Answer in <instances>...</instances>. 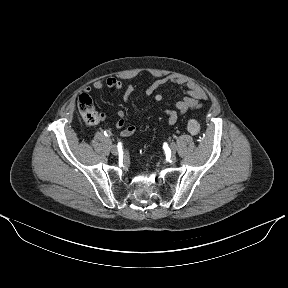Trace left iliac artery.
<instances>
[{
	"mask_svg": "<svg viewBox=\"0 0 288 288\" xmlns=\"http://www.w3.org/2000/svg\"><path fill=\"white\" fill-rule=\"evenodd\" d=\"M167 143L170 144V145H173L175 143V140L173 137H168L167 138Z\"/></svg>",
	"mask_w": 288,
	"mask_h": 288,
	"instance_id": "obj_1",
	"label": "left iliac artery"
}]
</instances>
